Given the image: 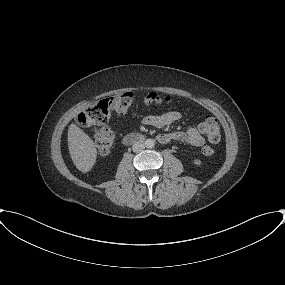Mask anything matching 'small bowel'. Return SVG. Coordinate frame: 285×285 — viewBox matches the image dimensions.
Returning <instances> with one entry per match:
<instances>
[{
  "instance_id": "c3829d8e",
  "label": "small bowel",
  "mask_w": 285,
  "mask_h": 285,
  "mask_svg": "<svg viewBox=\"0 0 285 285\" xmlns=\"http://www.w3.org/2000/svg\"><path fill=\"white\" fill-rule=\"evenodd\" d=\"M181 114L177 111L167 112L162 115H148L142 119L143 124L156 128L166 127L181 119ZM158 141L166 143L169 141H177L188 145L200 147L205 143L203 131L195 126H188L186 131H175L164 133L158 136Z\"/></svg>"
}]
</instances>
